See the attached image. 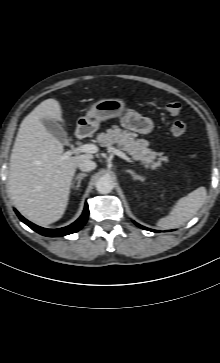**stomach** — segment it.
Returning <instances> with one entry per match:
<instances>
[{"mask_svg": "<svg viewBox=\"0 0 220 363\" xmlns=\"http://www.w3.org/2000/svg\"><path fill=\"white\" fill-rule=\"evenodd\" d=\"M126 106V100L121 98L103 99L94 103L84 117L77 121V127L94 133L100 122L120 115Z\"/></svg>", "mask_w": 220, "mask_h": 363, "instance_id": "1", "label": "stomach"}]
</instances>
